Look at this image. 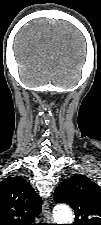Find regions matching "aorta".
Segmentation results:
<instances>
[{"label":"aorta","mask_w":101,"mask_h":225,"mask_svg":"<svg viewBox=\"0 0 101 225\" xmlns=\"http://www.w3.org/2000/svg\"><path fill=\"white\" fill-rule=\"evenodd\" d=\"M53 217L57 224H72L73 212L67 205H57L53 210Z\"/></svg>","instance_id":"1"}]
</instances>
